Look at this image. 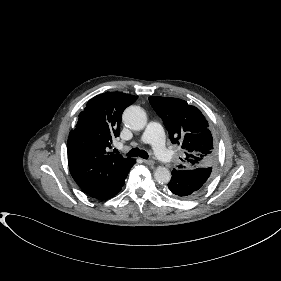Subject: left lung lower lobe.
I'll return each mask as SVG.
<instances>
[{
	"mask_svg": "<svg viewBox=\"0 0 281 281\" xmlns=\"http://www.w3.org/2000/svg\"><path fill=\"white\" fill-rule=\"evenodd\" d=\"M212 174V167H199L172 171L168 191L183 199L196 196L207 185Z\"/></svg>",
	"mask_w": 281,
	"mask_h": 281,
	"instance_id": "0a47b994",
	"label": "left lung lower lobe"
}]
</instances>
